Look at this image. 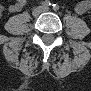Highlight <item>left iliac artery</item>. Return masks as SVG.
I'll list each match as a JSON object with an SVG mask.
<instances>
[{
  "label": "left iliac artery",
  "mask_w": 91,
  "mask_h": 91,
  "mask_svg": "<svg viewBox=\"0 0 91 91\" xmlns=\"http://www.w3.org/2000/svg\"><path fill=\"white\" fill-rule=\"evenodd\" d=\"M52 6H53L52 8H53L54 11L59 10V5L58 4H53Z\"/></svg>",
  "instance_id": "left-iliac-artery-1"
}]
</instances>
